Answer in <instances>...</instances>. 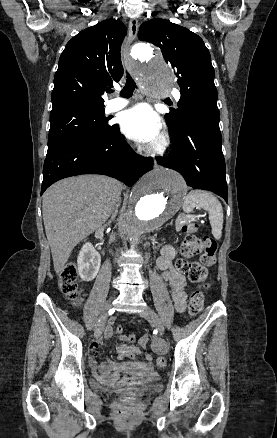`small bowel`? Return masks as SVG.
<instances>
[{
    "label": "small bowel",
    "instance_id": "small-bowel-1",
    "mask_svg": "<svg viewBox=\"0 0 277 438\" xmlns=\"http://www.w3.org/2000/svg\"><path fill=\"white\" fill-rule=\"evenodd\" d=\"M175 249L172 246H165L162 249V253L157 260V265L162 271V279L169 282L171 286L172 298L178 312H183L186 308V279L185 277L174 267L173 261L175 258ZM103 333L106 337L112 336V328L109 325H105L102 328ZM126 340H134V333H126L124 335ZM147 344V337L144 336L139 341V346L145 348ZM98 343L93 342L90 345L89 356L91 360V365L93 371L95 372L96 380L102 384L109 387L116 386L120 383V373L119 370H123L126 373L133 375H147L152 372V357L151 355L145 356L144 362H137L132 360L128 362L127 360H111L109 362H104L98 365L95 361L97 355L96 349L98 348ZM138 348L131 345L123 344L118 347L117 353L120 359L131 358L134 359L138 355ZM121 366V368H119ZM98 371V373L96 372Z\"/></svg>",
    "mask_w": 277,
    "mask_h": 438
}]
</instances>
